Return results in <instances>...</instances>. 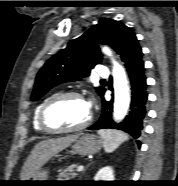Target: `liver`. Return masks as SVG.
<instances>
[{"mask_svg": "<svg viewBox=\"0 0 178 186\" xmlns=\"http://www.w3.org/2000/svg\"><path fill=\"white\" fill-rule=\"evenodd\" d=\"M78 137L79 135H69L43 140L36 144L22 167L20 174L22 181L29 179L47 163L51 157L67 148Z\"/></svg>", "mask_w": 178, "mask_h": 186, "instance_id": "1", "label": "liver"}]
</instances>
